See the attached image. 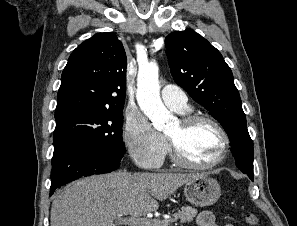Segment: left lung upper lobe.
<instances>
[{
  "mask_svg": "<svg viewBox=\"0 0 297 226\" xmlns=\"http://www.w3.org/2000/svg\"><path fill=\"white\" fill-rule=\"evenodd\" d=\"M175 82L223 126L241 171H253V142L247 130L239 92L221 53L192 29L165 38Z\"/></svg>",
  "mask_w": 297,
  "mask_h": 226,
  "instance_id": "obj_1",
  "label": "left lung upper lobe"
}]
</instances>
